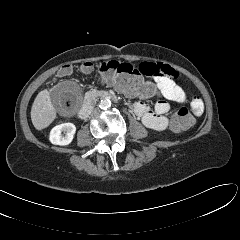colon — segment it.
<instances>
[{
  "label": "colon",
  "mask_w": 240,
  "mask_h": 240,
  "mask_svg": "<svg viewBox=\"0 0 240 240\" xmlns=\"http://www.w3.org/2000/svg\"><path fill=\"white\" fill-rule=\"evenodd\" d=\"M74 67L65 65L59 70V75L66 76L72 73ZM80 69L84 73L97 70L107 82L112 83L121 92L142 98L154 97L157 86L144 78L138 66L119 61H106L99 65L84 63ZM194 122L193 117L186 108L178 109L171 118V128L180 132L188 129Z\"/></svg>",
  "instance_id": "5ec220e1"
}]
</instances>
